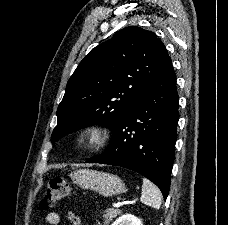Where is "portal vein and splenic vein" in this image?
<instances>
[{"mask_svg": "<svg viewBox=\"0 0 228 225\" xmlns=\"http://www.w3.org/2000/svg\"><path fill=\"white\" fill-rule=\"evenodd\" d=\"M138 203H139L138 199H125V201L120 200L119 202H117L116 200L112 201L114 209H117L118 207H133V204L137 205Z\"/></svg>", "mask_w": 228, "mask_h": 225, "instance_id": "1", "label": "portal vein and splenic vein"}]
</instances>
